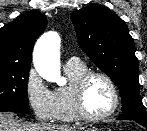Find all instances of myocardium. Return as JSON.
Masks as SVG:
<instances>
[{"mask_svg": "<svg viewBox=\"0 0 147 131\" xmlns=\"http://www.w3.org/2000/svg\"><path fill=\"white\" fill-rule=\"evenodd\" d=\"M93 77L103 78L108 83L113 96L111 108L102 115L90 114L85 106V88L88 81ZM73 98L75 110L79 118L87 122H100L110 118L116 112L120 104V95L114 80L107 73L100 70H87L78 77L73 84Z\"/></svg>", "mask_w": 147, "mask_h": 131, "instance_id": "myocardium-1", "label": "myocardium"}]
</instances>
